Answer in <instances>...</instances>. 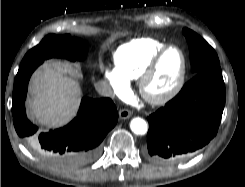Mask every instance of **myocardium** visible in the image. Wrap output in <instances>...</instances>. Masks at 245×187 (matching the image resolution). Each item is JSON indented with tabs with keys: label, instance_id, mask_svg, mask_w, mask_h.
Returning a JSON list of instances; mask_svg holds the SVG:
<instances>
[{
	"label": "myocardium",
	"instance_id": "1",
	"mask_svg": "<svg viewBox=\"0 0 245 187\" xmlns=\"http://www.w3.org/2000/svg\"><path fill=\"white\" fill-rule=\"evenodd\" d=\"M170 50H176L181 57L180 72L174 84L161 94H153L149 91V85L157 74L159 65L165 54ZM187 60L183 50L176 45L164 46L151 60L150 64L138 79L139 92L143 99L152 105H164L175 98L181 91L186 77Z\"/></svg>",
	"mask_w": 245,
	"mask_h": 187
}]
</instances>
